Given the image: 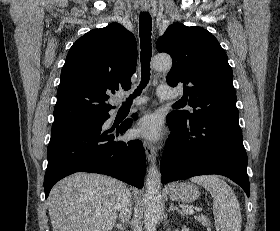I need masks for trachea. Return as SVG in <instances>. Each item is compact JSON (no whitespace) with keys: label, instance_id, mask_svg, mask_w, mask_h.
I'll use <instances>...</instances> for the list:
<instances>
[{"label":"trachea","instance_id":"3493384b","mask_svg":"<svg viewBox=\"0 0 280 231\" xmlns=\"http://www.w3.org/2000/svg\"><path fill=\"white\" fill-rule=\"evenodd\" d=\"M152 19L149 13L143 12L139 17V34L141 42V83L126 104L131 103L132 99L142 93V89L148 84L150 79V60L152 55L151 46ZM182 105L175 103L173 108H181Z\"/></svg>","mask_w":280,"mask_h":231}]
</instances>
